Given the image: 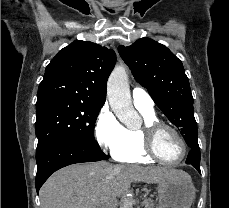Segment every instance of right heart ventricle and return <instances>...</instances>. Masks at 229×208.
Segmentation results:
<instances>
[{"mask_svg": "<svg viewBox=\"0 0 229 208\" xmlns=\"http://www.w3.org/2000/svg\"><path fill=\"white\" fill-rule=\"evenodd\" d=\"M124 77H126L124 75ZM144 121H156L157 116L155 112H148L145 110H139ZM127 144L124 148L114 154V157L123 162H156L155 158H148L144 153L143 143H146V139L143 135L142 129L125 128Z\"/></svg>", "mask_w": 229, "mask_h": 208, "instance_id": "right-heart-ventricle-1", "label": "right heart ventricle"}]
</instances>
